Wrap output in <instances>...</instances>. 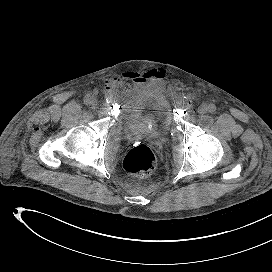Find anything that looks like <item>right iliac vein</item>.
<instances>
[{
    "label": "right iliac vein",
    "mask_w": 272,
    "mask_h": 272,
    "mask_svg": "<svg viewBox=\"0 0 272 272\" xmlns=\"http://www.w3.org/2000/svg\"><path fill=\"white\" fill-rule=\"evenodd\" d=\"M91 105L93 108L97 107L98 101L95 97H91Z\"/></svg>",
    "instance_id": "1"
}]
</instances>
